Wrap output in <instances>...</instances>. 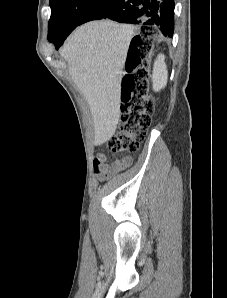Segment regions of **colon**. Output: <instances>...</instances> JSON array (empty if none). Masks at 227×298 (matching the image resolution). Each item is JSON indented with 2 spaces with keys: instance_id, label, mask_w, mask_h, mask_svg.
Returning <instances> with one entry per match:
<instances>
[{
  "instance_id": "1",
  "label": "colon",
  "mask_w": 227,
  "mask_h": 298,
  "mask_svg": "<svg viewBox=\"0 0 227 298\" xmlns=\"http://www.w3.org/2000/svg\"><path fill=\"white\" fill-rule=\"evenodd\" d=\"M152 51L147 31L132 42L120 88V124L118 131L108 141L113 153H134L145 139L151 125L155 105L149 95V70L145 63Z\"/></svg>"
}]
</instances>
